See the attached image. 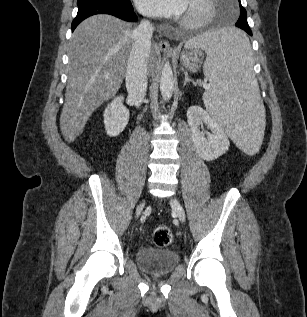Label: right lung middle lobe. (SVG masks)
Returning <instances> with one entry per match:
<instances>
[{"label":"right lung middle lobe","instance_id":"right-lung-middle-lobe-1","mask_svg":"<svg viewBox=\"0 0 307 317\" xmlns=\"http://www.w3.org/2000/svg\"><path fill=\"white\" fill-rule=\"evenodd\" d=\"M86 1H91V0H77V4H82L83 2H86ZM100 1H104V2H108V3H111V4H115V5H122V4H125L127 2H130L129 0H100Z\"/></svg>","mask_w":307,"mask_h":317}]
</instances>
